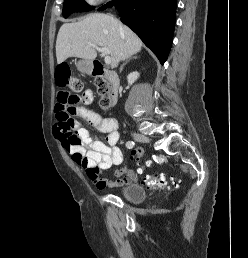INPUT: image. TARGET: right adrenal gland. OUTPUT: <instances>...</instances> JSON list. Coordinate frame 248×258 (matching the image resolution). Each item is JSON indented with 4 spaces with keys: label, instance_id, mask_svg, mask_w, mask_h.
I'll use <instances>...</instances> for the list:
<instances>
[{
    "label": "right adrenal gland",
    "instance_id": "right-adrenal-gland-1",
    "mask_svg": "<svg viewBox=\"0 0 248 258\" xmlns=\"http://www.w3.org/2000/svg\"><path fill=\"white\" fill-rule=\"evenodd\" d=\"M136 56L130 57L129 59H127L120 67V72H122L123 67L131 60V59H136Z\"/></svg>",
    "mask_w": 248,
    "mask_h": 258
}]
</instances>
